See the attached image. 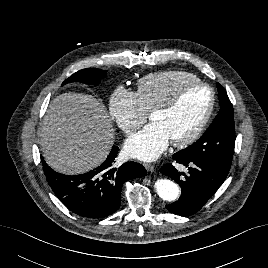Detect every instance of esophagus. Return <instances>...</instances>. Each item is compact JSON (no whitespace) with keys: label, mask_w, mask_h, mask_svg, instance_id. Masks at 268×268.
<instances>
[{"label":"esophagus","mask_w":268,"mask_h":268,"mask_svg":"<svg viewBox=\"0 0 268 268\" xmlns=\"http://www.w3.org/2000/svg\"><path fill=\"white\" fill-rule=\"evenodd\" d=\"M144 167L147 171H153L154 170V165L150 164V163H145Z\"/></svg>","instance_id":"1"}]
</instances>
